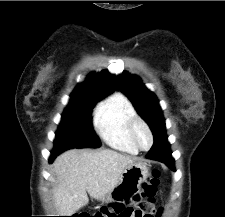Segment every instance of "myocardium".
Listing matches in <instances>:
<instances>
[{
    "label": "myocardium",
    "instance_id": "myocardium-1",
    "mask_svg": "<svg viewBox=\"0 0 225 217\" xmlns=\"http://www.w3.org/2000/svg\"><path fill=\"white\" fill-rule=\"evenodd\" d=\"M140 127L141 128H144L146 130V132L148 133L149 137H150V144H149L148 147L141 146V144L138 141L137 131H138V129ZM129 135H130L131 141L133 142V144L139 150L147 151V150H149L153 146V143H154V135H153V132H152L150 126L143 119H141L139 117L134 118L130 122V125H129Z\"/></svg>",
    "mask_w": 225,
    "mask_h": 217
}]
</instances>
